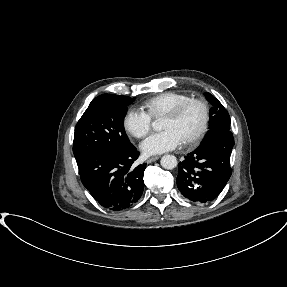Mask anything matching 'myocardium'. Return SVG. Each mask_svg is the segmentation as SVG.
I'll list each match as a JSON object with an SVG mask.
<instances>
[{
	"mask_svg": "<svg viewBox=\"0 0 287 287\" xmlns=\"http://www.w3.org/2000/svg\"><path fill=\"white\" fill-rule=\"evenodd\" d=\"M190 104H195L200 108L201 111V119L198 128L196 131L185 141H183L184 145L190 146L196 144L207 131L208 124H209V107L207 103L200 98L195 97H188L183 101L176 104L170 110H168L163 116L169 118H176L178 117L181 112Z\"/></svg>",
	"mask_w": 287,
	"mask_h": 287,
	"instance_id": "f54148a6",
	"label": "myocardium"
}]
</instances>
